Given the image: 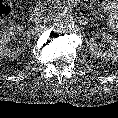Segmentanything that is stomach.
Instances as JSON below:
<instances>
[{"label":"stomach","instance_id":"stomach-1","mask_svg":"<svg viewBox=\"0 0 118 118\" xmlns=\"http://www.w3.org/2000/svg\"><path fill=\"white\" fill-rule=\"evenodd\" d=\"M104 1H107V2H108L109 0H104ZM116 1L118 2V0H116ZM117 6H118V5H117Z\"/></svg>","mask_w":118,"mask_h":118}]
</instances>
